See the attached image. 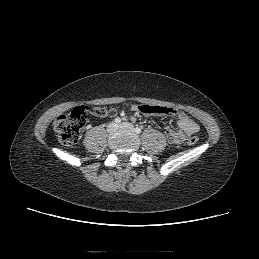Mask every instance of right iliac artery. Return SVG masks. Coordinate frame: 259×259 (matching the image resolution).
<instances>
[{
  "mask_svg": "<svg viewBox=\"0 0 259 259\" xmlns=\"http://www.w3.org/2000/svg\"><path fill=\"white\" fill-rule=\"evenodd\" d=\"M114 121H115V123L119 124L121 122V119L119 117H117Z\"/></svg>",
  "mask_w": 259,
  "mask_h": 259,
  "instance_id": "82829eb1",
  "label": "right iliac artery"
}]
</instances>
